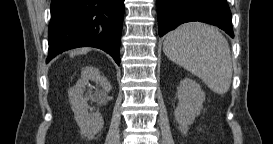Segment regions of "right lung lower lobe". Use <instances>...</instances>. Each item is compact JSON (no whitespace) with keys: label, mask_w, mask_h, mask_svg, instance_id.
I'll use <instances>...</instances> for the list:
<instances>
[{"label":"right lung lower lobe","mask_w":273,"mask_h":144,"mask_svg":"<svg viewBox=\"0 0 273 144\" xmlns=\"http://www.w3.org/2000/svg\"><path fill=\"white\" fill-rule=\"evenodd\" d=\"M124 0H52L46 63L76 47L106 51L120 63Z\"/></svg>","instance_id":"1"}]
</instances>
